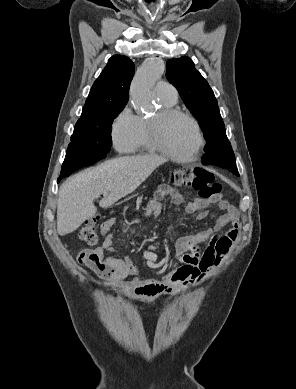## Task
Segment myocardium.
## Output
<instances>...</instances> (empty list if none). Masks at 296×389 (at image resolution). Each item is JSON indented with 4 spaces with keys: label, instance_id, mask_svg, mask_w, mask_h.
Returning <instances> with one entry per match:
<instances>
[{
    "label": "myocardium",
    "instance_id": "1",
    "mask_svg": "<svg viewBox=\"0 0 296 389\" xmlns=\"http://www.w3.org/2000/svg\"><path fill=\"white\" fill-rule=\"evenodd\" d=\"M176 117H183L189 120L196 131L197 144L192 153L187 156H179L173 153L170 149L167 148L163 141L162 128L164 123ZM148 133L151 145L155 151L181 163H189L195 161L199 157L205 144L204 135L198 120L191 114L175 107H163L159 111L157 117L149 119Z\"/></svg>",
    "mask_w": 296,
    "mask_h": 389
}]
</instances>
